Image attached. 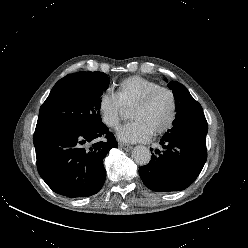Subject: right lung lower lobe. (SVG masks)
Returning <instances> with one entry per match:
<instances>
[{
  "label": "right lung lower lobe",
  "mask_w": 248,
  "mask_h": 248,
  "mask_svg": "<svg viewBox=\"0 0 248 248\" xmlns=\"http://www.w3.org/2000/svg\"><path fill=\"white\" fill-rule=\"evenodd\" d=\"M103 136L107 140H100ZM33 141L40 176L54 192L71 198L100 191L106 179L103 159L118 147L105 125L85 129L36 126Z\"/></svg>",
  "instance_id": "98d812e1"
}]
</instances>
